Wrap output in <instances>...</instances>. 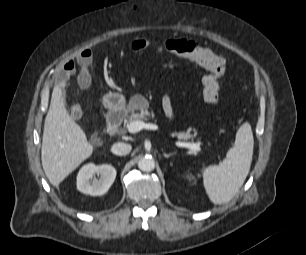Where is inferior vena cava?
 <instances>
[{
    "instance_id": "inferior-vena-cava-1",
    "label": "inferior vena cava",
    "mask_w": 306,
    "mask_h": 255,
    "mask_svg": "<svg viewBox=\"0 0 306 255\" xmlns=\"http://www.w3.org/2000/svg\"><path fill=\"white\" fill-rule=\"evenodd\" d=\"M131 149L132 146L130 144L118 142L113 144L111 151L116 155L123 156L129 154Z\"/></svg>"
}]
</instances>
